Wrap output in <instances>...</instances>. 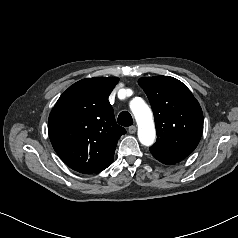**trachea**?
<instances>
[{
	"mask_svg": "<svg viewBox=\"0 0 238 238\" xmlns=\"http://www.w3.org/2000/svg\"><path fill=\"white\" fill-rule=\"evenodd\" d=\"M117 121L121 126H124V127H128V126H131L133 124L132 116L127 111L121 112L118 116Z\"/></svg>",
	"mask_w": 238,
	"mask_h": 238,
	"instance_id": "trachea-1",
	"label": "trachea"
}]
</instances>
